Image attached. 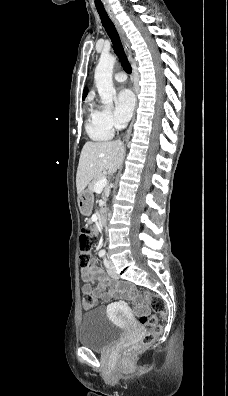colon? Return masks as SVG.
<instances>
[{
    "label": "colon",
    "instance_id": "obj_1",
    "mask_svg": "<svg viewBox=\"0 0 228 396\" xmlns=\"http://www.w3.org/2000/svg\"><path fill=\"white\" fill-rule=\"evenodd\" d=\"M79 252L81 266L83 268L88 267L94 259L89 248L88 230L85 227L81 228L79 234ZM141 298L146 302L153 313L141 317L140 321L146 330L140 338L130 346L128 352H136L151 345L161 332V326L156 314H163L165 312L166 306L164 301L151 291H145ZM98 305L99 301L94 296L90 294H85L83 296L82 306L85 310L94 309L98 307Z\"/></svg>",
    "mask_w": 228,
    "mask_h": 396
}]
</instances>
